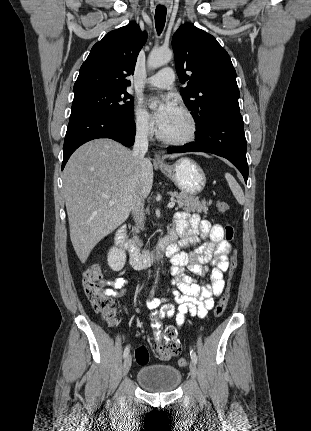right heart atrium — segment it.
<instances>
[{
	"label": "right heart atrium",
	"instance_id": "right-heart-atrium-1",
	"mask_svg": "<svg viewBox=\"0 0 311 431\" xmlns=\"http://www.w3.org/2000/svg\"><path fill=\"white\" fill-rule=\"evenodd\" d=\"M131 123L135 133L141 137H150L155 132V124L151 116L140 103H135L132 108Z\"/></svg>",
	"mask_w": 311,
	"mask_h": 431
}]
</instances>
